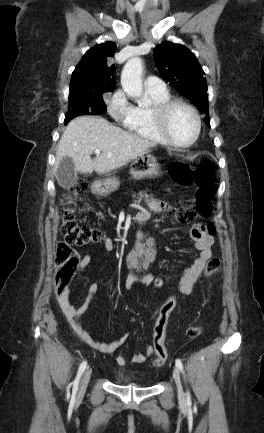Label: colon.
Instances as JSON below:
<instances>
[{
  "label": "colon",
  "instance_id": "obj_1",
  "mask_svg": "<svg viewBox=\"0 0 264 433\" xmlns=\"http://www.w3.org/2000/svg\"><path fill=\"white\" fill-rule=\"evenodd\" d=\"M170 175L180 186L195 185L197 190L194 198L183 200L181 209L175 214V221L181 224L190 223L196 217H209L213 212L214 168L209 158H204L196 166L174 163L170 166ZM88 192V184L84 180L78 181L69 194L62 200L63 215L61 220V233L64 241L58 245L55 259L56 265V292L58 295L67 290L74 277L78 265L79 255L73 246H86L104 240L101 231L90 225L79 224L76 216V201L84 198ZM210 233L216 232L214 223L208 225ZM221 267L217 257L208 260L205 275L216 273ZM176 306L175 296H170L158 309L157 319L153 329V347L155 349L154 366H162L167 359L165 348V333L169 317ZM202 332L198 325L189 326L186 330L188 338H196Z\"/></svg>",
  "mask_w": 264,
  "mask_h": 433
}]
</instances>
